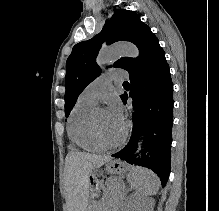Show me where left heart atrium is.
I'll list each match as a JSON object with an SVG mask.
<instances>
[{
    "mask_svg": "<svg viewBox=\"0 0 219 211\" xmlns=\"http://www.w3.org/2000/svg\"><path fill=\"white\" fill-rule=\"evenodd\" d=\"M108 115L115 125L125 128V116L123 106L118 98H110L106 108Z\"/></svg>",
    "mask_w": 219,
    "mask_h": 211,
    "instance_id": "39dd6f15",
    "label": "left heart atrium"
}]
</instances>
